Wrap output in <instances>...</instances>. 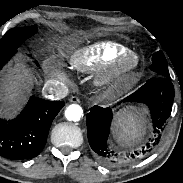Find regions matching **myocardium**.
<instances>
[{
  "label": "myocardium",
  "mask_w": 183,
  "mask_h": 183,
  "mask_svg": "<svg viewBox=\"0 0 183 183\" xmlns=\"http://www.w3.org/2000/svg\"><path fill=\"white\" fill-rule=\"evenodd\" d=\"M141 59L138 54L127 51L116 56L105 70L94 79L97 87H107L133 76L140 68Z\"/></svg>",
  "instance_id": "1"
}]
</instances>
